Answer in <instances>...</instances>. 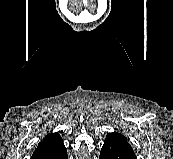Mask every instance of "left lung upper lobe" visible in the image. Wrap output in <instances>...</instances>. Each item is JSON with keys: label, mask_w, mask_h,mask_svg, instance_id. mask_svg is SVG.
I'll list each match as a JSON object with an SVG mask.
<instances>
[{"label": "left lung upper lobe", "mask_w": 173, "mask_h": 159, "mask_svg": "<svg viewBox=\"0 0 173 159\" xmlns=\"http://www.w3.org/2000/svg\"><path fill=\"white\" fill-rule=\"evenodd\" d=\"M105 143L114 145L122 150L134 153L131 145L127 142V138L117 132L107 134Z\"/></svg>", "instance_id": "obj_1"}]
</instances>
